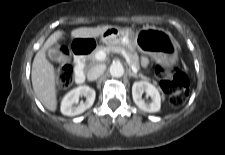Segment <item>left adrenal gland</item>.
Masks as SVG:
<instances>
[{
	"label": "left adrenal gland",
	"mask_w": 225,
	"mask_h": 155,
	"mask_svg": "<svg viewBox=\"0 0 225 155\" xmlns=\"http://www.w3.org/2000/svg\"><path fill=\"white\" fill-rule=\"evenodd\" d=\"M129 75L132 76V77H134V78H138V75H136L135 73H133L131 71H129Z\"/></svg>",
	"instance_id": "left-adrenal-gland-1"
}]
</instances>
